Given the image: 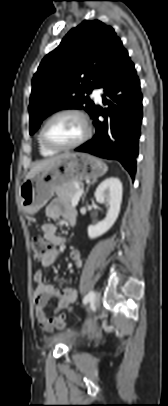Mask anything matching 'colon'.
Wrapping results in <instances>:
<instances>
[{"mask_svg":"<svg viewBox=\"0 0 168 406\" xmlns=\"http://www.w3.org/2000/svg\"><path fill=\"white\" fill-rule=\"evenodd\" d=\"M31 246L33 250L34 260L38 263L46 261L53 251L52 244L40 236H34L32 238ZM50 322L58 329H64L67 327L65 316L63 314L52 317Z\"/></svg>","mask_w":168,"mask_h":406,"instance_id":"colon-1","label":"colon"}]
</instances>
